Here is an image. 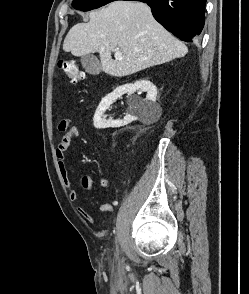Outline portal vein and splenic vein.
I'll list each match as a JSON object with an SVG mask.
<instances>
[{
  "instance_id": "portal-vein-and-splenic-vein-1",
  "label": "portal vein and splenic vein",
  "mask_w": 249,
  "mask_h": 294,
  "mask_svg": "<svg viewBox=\"0 0 249 294\" xmlns=\"http://www.w3.org/2000/svg\"><path fill=\"white\" fill-rule=\"evenodd\" d=\"M114 51H115V54H114L115 59L122 60L123 59L122 52L118 48L115 49Z\"/></svg>"
}]
</instances>
